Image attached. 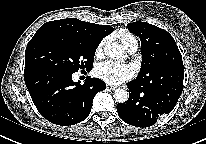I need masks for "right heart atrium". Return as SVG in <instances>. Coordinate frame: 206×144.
Here are the masks:
<instances>
[{
	"mask_svg": "<svg viewBox=\"0 0 206 144\" xmlns=\"http://www.w3.org/2000/svg\"><path fill=\"white\" fill-rule=\"evenodd\" d=\"M103 45H104V41H101V42L99 43V45L97 46V48H96V55H97V56H99V55L101 54Z\"/></svg>",
	"mask_w": 206,
	"mask_h": 144,
	"instance_id": "d8ad5b80",
	"label": "right heart atrium"
}]
</instances>
